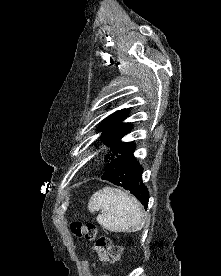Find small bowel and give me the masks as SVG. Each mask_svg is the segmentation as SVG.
Listing matches in <instances>:
<instances>
[{
	"mask_svg": "<svg viewBox=\"0 0 221 276\" xmlns=\"http://www.w3.org/2000/svg\"><path fill=\"white\" fill-rule=\"evenodd\" d=\"M96 254H97V258L100 262H102V263L109 262V256L104 250L96 248ZM93 269L95 271H98V268L95 265H93Z\"/></svg>",
	"mask_w": 221,
	"mask_h": 276,
	"instance_id": "1",
	"label": "small bowel"
}]
</instances>
